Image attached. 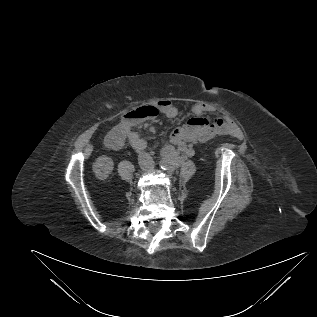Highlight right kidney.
I'll return each mask as SVG.
<instances>
[{"instance_id":"1","label":"right kidney","mask_w":317,"mask_h":317,"mask_svg":"<svg viewBox=\"0 0 317 317\" xmlns=\"http://www.w3.org/2000/svg\"><path fill=\"white\" fill-rule=\"evenodd\" d=\"M113 168V160L105 155L98 157L92 166L93 172L100 180L106 179L113 171Z\"/></svg>"}]
</instances>
